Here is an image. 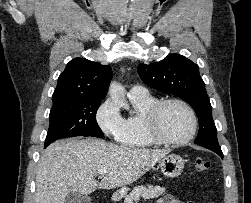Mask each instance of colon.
Instances as JSON below:
<instances>
[{
	"mask_svg": "<svg viewBox=\"0 0 251 203\" xmlns=\"http://www.w3.org/2000/svg\"><path fill=\"white\" fill-rule=\"evenodd\" d=\"M195 169L198 172H205L210 167V162L204 157H196L194 160Z\"/></svg>",
	"mask_w": 251,
	"mask_h": 203,
	"instance_id": "obj_1",
	"label": "colon"
}]
</instances>
